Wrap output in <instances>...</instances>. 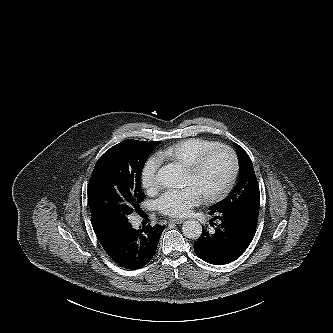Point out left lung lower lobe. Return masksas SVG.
<instances>
[{"instance_id":"obj_1","label":"left lung lower lobe","mask_w":333,"mask_h":333,"mask_svg":"<svg viewBox=\"0 0 333 333\" xmlns=\"http://www.w3.org/2000/svg\"><path fill=\"white\" fill-rule=\"evenodd\" d=\"M215 215L210 225L212 232L202 231L194 243V251L202 260L222 265L238 259L254 238L258 212H236L228 210L211 211Z\"/></svg>"}]
</instances>
